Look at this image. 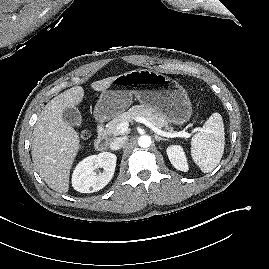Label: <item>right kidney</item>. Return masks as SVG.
I'll return each mask as SVG.
<instances>
[{
	"mask_svg": "<svg viewBox=\"0 0 269 269\" xmlns=\"http://www.w3.org/2000/svg\"><path fill=\"white\" fill-rule=\"evenodd\" d=\"M116 160V155L110 152L86 157L74 169L73 188L81 193H93L104 188L114 175ZM98 167L103 168V172L97 174L94 170Z\"/></svg>",
	"mask_w": 269,
	"mask_h": 269,
	"instance_id": "right-kidney-1",
	"label": "right kidney"
}]
</instances>
